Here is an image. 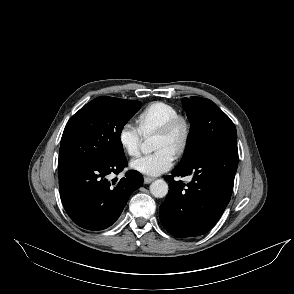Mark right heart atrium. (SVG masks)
Wrapping results in <instances>:
<instances>
[{"instance_id": "d8ad5b80", "label": "right heart atrium", "mask_w": 294, "mask_h": 294, "mask_svg": "<svg viewBox=\"0 0 294 294\" xmlns=\"http://www.w3.org/2000/svg\"><path fill=\"white\" fill-rule=\"evenodd\" d=\"M118 143L123 151L131 156H137L142 142L141 130L131 122L124 123L118 131Z\"/></svg>"}]
</instances>
